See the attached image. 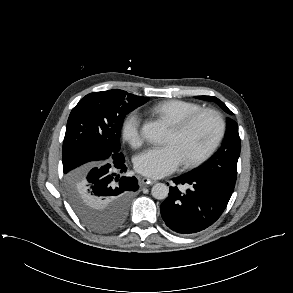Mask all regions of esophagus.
Instances as JSON below:
<instances>
[{
	"instance_id": "esophagus-1",
	"label": "esophagus",
	"mask_w": 293,
	"mask_h": 293,
	"mask_svg": "<svg viewBox=\"0 0 293 293\" xmlns=\"http://www.w3.org/2000/svg\"><path fill=\"white\" fill-rule=\"evenodd\" d=\"M142 182L144 183V185H148V184L156 183L157 181L154 179H150V178H143Z\"/></svg>"
}]
</instances>
